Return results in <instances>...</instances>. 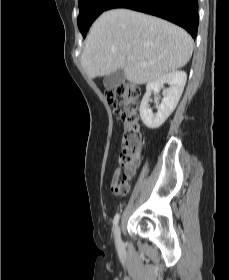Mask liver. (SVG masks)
<instances>
[{
	"label": "liver",
	"mask_w": 229,
	"mask_h": 280,
	"mask_svg": "<svg viewBox=\"0 0 229 280\" xmlns=\"http://www.w3.org/2000/svg\"><path fill=\"white\" fill-rule=\"evenodd\" d=\"M192 52L193 39L184 29L157 17L114 9L92 25L81 66L90 79L122 69L128 81L145 84L184 67Z\"/></svg>",
	"instance_id": "liver-1"
}]
</instances>
